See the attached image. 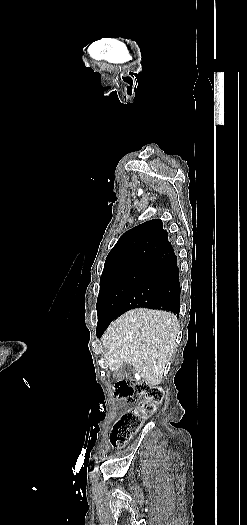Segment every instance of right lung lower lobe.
Here are the masks:
<instances>
[{"instance_id":"98d812e1","label":"right lung lower lobe","mask_w":247,"mask_h":525,"mask_svg":"<svg viewBox=\"0 0 247 525\" xmlns=\"http://www.w3.org/2000/svg\"><path fill=\"white\" fill-rule=\"evenodd\" d=\"M140 307L167 310L179 315V269L171 244L154 256L152 263L136 281L117 312L120 316L128 310ZM106 329V326H97L96 335L100 337Z\"/></svg>"}]
</instances>
